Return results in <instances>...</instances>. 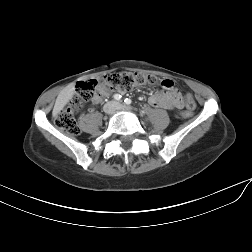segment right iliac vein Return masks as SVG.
Returning <instances> with one entry per match:
<instances>
[{
  "mask_svg": "<svg viewBox=\"0 0 252 252\" xmlns=\"http://www.w3.org/2000/svg\"><path fill=\"white\" fill-rule=\"evenodd\" d=\"M116 109V103L115 102H109L104 106V112L108 115L112 114L114 110Z\"/></svg>",
  "mask_w": 252,
  "mask_h": 252,
  "instance_id": "1",
  "label": "right iliac vein"
}]
</instances>
